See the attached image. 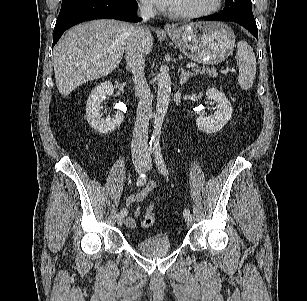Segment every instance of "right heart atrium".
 <instances>
[{
	"mask_svg": "<svg viewBox=\"0 0 307 301\" xmlns=\"http://www.w3.org/2000/svg\"><path fill=\"white\" fill-rule=\"evenodd\" d=\"M142 1V4H141V7H142V9L143 10H145V11H151L152 10V6H151V4H149L148 2V0H141Z\"/></svg>",
	"mask_w": 307,
	"mask_h": 301,
	"instance_id": "1",
	"label": "right heart atrium"
}]
</instances>
